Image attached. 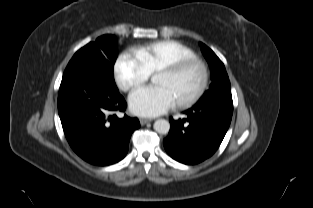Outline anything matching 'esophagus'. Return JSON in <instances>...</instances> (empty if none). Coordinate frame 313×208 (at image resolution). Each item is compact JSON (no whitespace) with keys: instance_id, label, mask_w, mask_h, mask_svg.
I'll return each instance as SVG.
<instances>
[{"instance_id":"obj_1","label":"esophagus","mask_w":313,"mask_h":208,"mask_svg":"<svg viewBox=\"0 0 313 208\" xmlns=\"http://www.w3.org/2000/svg\"><path fill=\"white\" fill-rule=\"evenodd\" d=\"M151 119H147V118H140V124L143 126L149 122H151Z\"/></svg>"}]
</instances>
